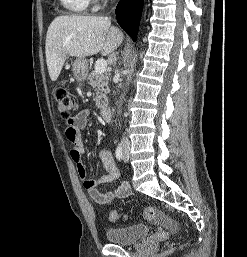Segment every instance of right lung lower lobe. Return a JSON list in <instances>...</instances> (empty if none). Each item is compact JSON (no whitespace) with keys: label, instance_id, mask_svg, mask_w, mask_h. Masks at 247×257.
<instances>
[{"label":"right lung lower lobe","instance_id":"1","mask_svg":"<svg viewBox=\"0 0 247 257\" xmlns=\"http://www.w3.org/2000/svg\"><path fill=\"white\" fill-rule=\"evenodd\" d=\"M143 8V0H121L116 7V18L119 25L134 40Z\"/></svg>","mask_w":247,"mask_h":257}]
</instances>
